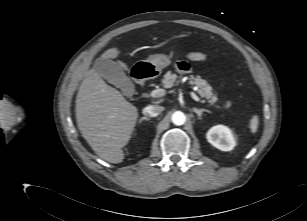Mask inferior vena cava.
Returning <instances> with one entry per match:
<instances>
[{
	"label": "inferior vena cava",
	"mask_w": 307,
	"mask_h": 221,
	"mask_svg": "<svg viewBox=\"0 0 307 221\" xmlns=\"http://www.w3.org/2000/svg\"><path fill=\"white\" fill-rule=\"evenodd\" d=\"M163 110V107L157 105H148L143 109V114L149 117H156Z\"/></svg>",
	"instance_id": "obj_1"
}]
</instances>
